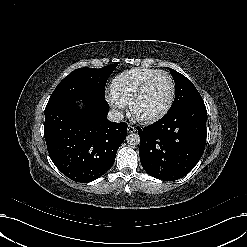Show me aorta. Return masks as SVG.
<instances>
[{"label":"aorta","instance_id":"762f6f07","mask_svg":"<svg viewBox=\"0 0 247 247\" xmlns=\"http://www.w3.org/2000/svg\"><path fill=\"white\" fill-rule=\"evenodd\" d=\"M127 143L131 146H136L140 143V136L137 133H131L126 138Z\"/></svg>","mask_w":247,"mask_h":247}]
</instances>
